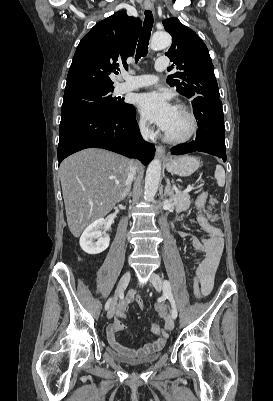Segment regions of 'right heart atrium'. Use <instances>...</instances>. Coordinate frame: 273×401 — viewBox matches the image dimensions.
<instances>
[{"label": "right heart atrium", "instance_id": "right-heart-atrium-1", "mask_svg": "<svg viewBox=\"0 0 273 401\" xmlns=\"http://www.w3.org/2000/svg\"><path fill=\"white\" fill-rule=\"evenodd\" d=\"M138 128L140 130V132L145 135V136H149L152 134V128L151 126L144 120L140 119L138 121Z\"/></svg>", "mask_w": 273, "mask_h": 401}]
</instances>
